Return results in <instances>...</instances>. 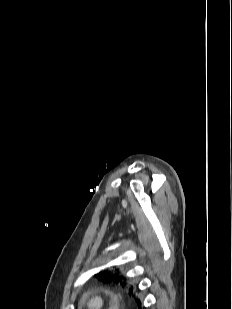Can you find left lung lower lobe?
<instances>
[{"mask_svg": "<svg viewBox=\"0 0 232 309\" xmlns=\"http://www.w3.org/2000/svg\"><path fill=\"white\" fill-rule=\"evenodd\" d=\"M140 306H141V304L140 305H138V308L140 309Z\"/></svg>", "mask_w": 232, "mask_h": 309, "instance_id": "obj_1", "label": "left lung lower lobe"}]
</instances>
